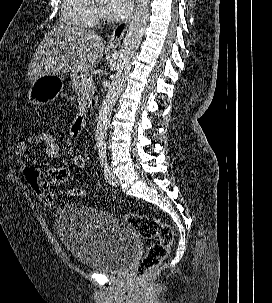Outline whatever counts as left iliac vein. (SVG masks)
Returning <instances> with one entry per match:
<instances>
[{
  "mask_svg": "<svg viewBox=\"0 0 272 303\" xmlns=\"http://www.w3.org/2000/svg\"><path fill=\"white\" fill-rule=\"evenodd\" d=\"M104 176L106 181L112 186H118L119 180L117 176L114 174L112 168L110 166H106L104 168Z\"/></svg>",
  "mask_w": 272,
  "mask_h": 303,
  "instance_id": "1",
  "label": "left iliac vein"
}]
</instances>
